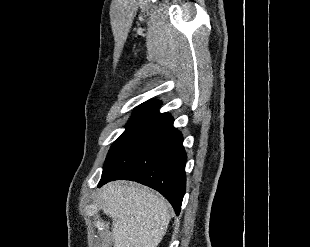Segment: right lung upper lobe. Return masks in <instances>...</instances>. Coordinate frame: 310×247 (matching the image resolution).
<instances>
[{"label":"right lung upper lobe","instance_id":"obj_1","mask_svg":"<svg viewBox=\"0 0 310 247\" xmlns=\"http://www.w3.org/2000/svg\"><path fill=\"white\" fill-rule=\"evenodd\" d=\"M161 103L155 99H151L143 104H141L138 108L135 110H147V111H154L157 114H159L158 109L160 107Z\"/></svg>","mask_w":310,"mask_h":247}]
</instances>
